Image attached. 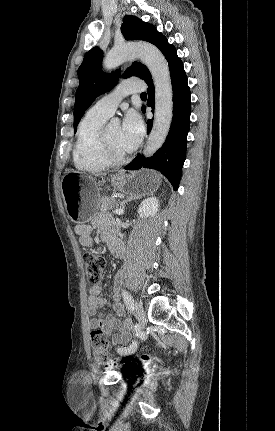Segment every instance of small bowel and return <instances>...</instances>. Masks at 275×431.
Wrapping results in <instances>:
<instances>
[{"label":"small bowel","mask_w":275,"mask_h":431,"mask_svg":"<svg viewBox=\"0 0 275 431\" xmlns=\"http://www.w3.org/2000/svg\"><path fill=\"white\" fill-rule=\"evenodd\" d=\"M96 227L101 234L102 240L107 244L110 251L116 256L121 257L124 253V244L114 236L110 224L104 219H96L92 225H78L75 228L79 235V242L83 246L92 244V229ZM106 300L101 296V286L95 285L91 288L88 297V313L92 318L89 321L91 329H101L104 333L111 336L113 345L126 344L130 340V326L127 320H121L124 315V308L118 302L113 306V313H98L104 307Z\"/></svg>","instance_id":"small-bowel-1"}]
</instances>
